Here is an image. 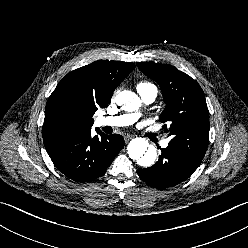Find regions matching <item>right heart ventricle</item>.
Wrapping results in <instances>:
<instances>
[{
  "label": "right heart ventricle",
  "instance_id": "obj_1",
  "mask_svg": "<svg viewBox=\"0 0 248 248\" xmlns=\"http://www.w3.org/2000/svg\"><path fill=\"white\" fill-rule=\"evenodd\" d=\"M152 86V84L148 83V82H145V81H142V82H139L137 84V90H144L148 87Z\"/></svg>",
  "mask_w": 248,
  "mask_h": 248
}]
</instances>
